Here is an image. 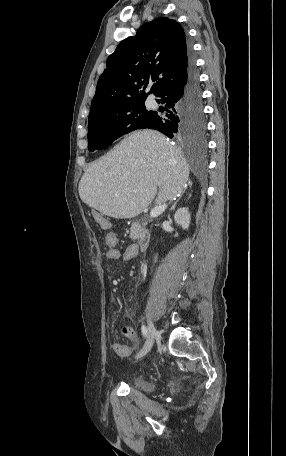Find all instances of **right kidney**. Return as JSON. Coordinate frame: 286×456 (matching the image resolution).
Wrapping results in <instances>:
<instances>
[{
    "label": "right kidney",
    "instance_id": "right-kidney-1",
    "mask_svg": "<svg viewBox=\"0 0 286 456\" xmlns=\"http://www.w3.org/2000/svg\"><path fill=\"white\" fill-rule=\"evenodd\" d=\"M190 219L191 215L188 212V208L183 207L179 208L175 215H174V220L175 222L182 227V229H188L189 224H190Z\"/></svg>",
    "mask_w": 286,
    "mask_h": 456
}]
</instances>
